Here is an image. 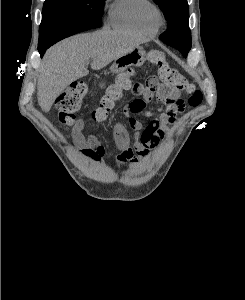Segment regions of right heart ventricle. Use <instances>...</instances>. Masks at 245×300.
<instances>
[{
	"label": "right heart ventricle",
	"instance_id": "e07e8e85",
	"mask_svg": "<svg viewBox=\"0 0 245 300\" xmlns=\"http://www.w3.org/2000/svg\"><path fill=\"white\" fill-rule=\"evenodd\" d=\"M153 7L155 6L150 0H114L109 13V23L116 30L154 35L158 28L146 19L147 12Z\"/></svg>",
	"mask_w": 245,
	"mask_h": 300
}]
</instances>
